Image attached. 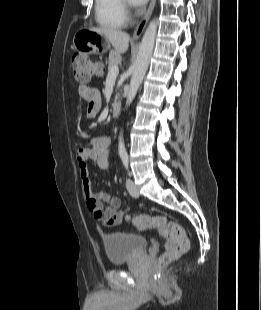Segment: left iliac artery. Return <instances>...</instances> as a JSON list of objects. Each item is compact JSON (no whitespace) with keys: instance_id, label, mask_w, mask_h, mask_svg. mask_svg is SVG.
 Returning a JSON list of instances; mask_svg holds the SVG:
<instances>
[{"instance_id":"left-iliac-artery-1","label":"left iliac artery","mask_w":261,"mask_h":310,"mask_svg":"<svg viewBox=\"0 0 261 310\" xmlns=\"http://www.w3.org/2000/svg\"><path fill=\"white\" fill-rule=\"evenodd\" d=\"M122 162L126 169H128V155L124 154L121 156Z\"/></svg>"}]
</instances>
